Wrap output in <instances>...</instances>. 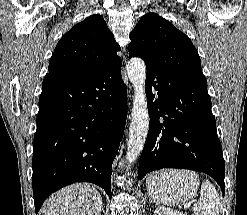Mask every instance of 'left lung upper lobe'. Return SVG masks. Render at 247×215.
Here are the masks:
<instances>
[{
	"label": "left lung upper lobe",
	"mask_w": 247,
	"mask_h": 215,
	"mask_svg": "<svg viewBox=\"0 0 247 215\" xmlns=\"http://www.w3.org/2000/svg\"><path fill=\"white\" fill-rule=\"evenodd\" d=\"M130 57H141L146 65L206 82L201 61L191 40L158 14L142 16L130 33Z\"/></svg>",
	"instance_id": "left-lung-upper-lobe-1"
}]
</instances>
